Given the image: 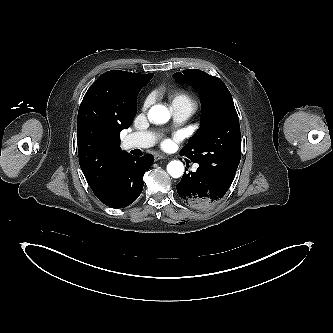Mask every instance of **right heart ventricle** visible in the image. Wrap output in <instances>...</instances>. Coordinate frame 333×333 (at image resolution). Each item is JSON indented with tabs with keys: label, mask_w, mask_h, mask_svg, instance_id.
I'll return each mask as SVG.
<instances>
[{
	"label": "right heart ventricle",
	"mask_w": 333,
	"mask_h": 333,
	"mask_svg": "<svg viewBox=\"0 0 333 333\" xmlns=\"http://www.w3.org/2000/svg\"><path fill=\"white\" fill-rule=\"evenodd\" d=\"M172 105L176 104H187L195 107V102L193 98L184 91H177L171 94Z\"/></svg>",
	"instance_id": "right-heart-ventricle-1"
}]
</instances>
